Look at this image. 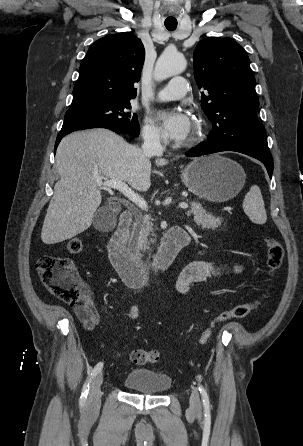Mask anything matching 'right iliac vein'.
<instances>
[{
    "label": "right iliac vein",
    "instance_id": "obj_1",
    "mask_svg": "<svg viewBox=\"0 0 303 446\" xmlns=\"http://www.w3.org/2000/svg\"><path fill=\"white\" fill-rule=\"evenodd\" d=\"M103 383V372H100L92 381L90 386L88 409L97 411L101 402V385Z\"/></svg>",
    "mask_w": 303,
    "mask_h": 446
}]
</instances>
